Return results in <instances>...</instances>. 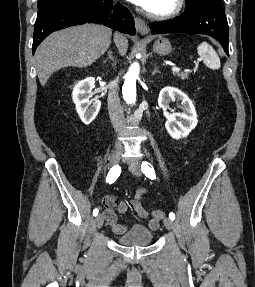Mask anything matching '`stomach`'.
Segmentation results:
<instances>
[{
  "mask_svg": "<svg viewBox=\"0 0 255 287\" xmlns=\"http://www.w3.org/2000/svg\"><path fill=\"white\" fill-rule=\"evenodd\" d=\"M153 48L154 52H157V54H160V56H168L172 50V46L169 40H166V38H158V40H155Z\"/></svg>",
  "mask_w": 255,
  "mask_h": 287,
  "instance_id": "stomach-1",
  "label": "stomach"
}]
</instances>
